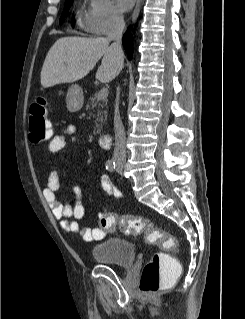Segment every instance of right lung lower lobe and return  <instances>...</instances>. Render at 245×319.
<instances>
[{
  "label": "right lung lower lobe",
  "mask_w": 245,
  "mask_h": 319,
  "mask_svg": "<svg viewBox=\"0 0 245 319\" xmlns=\"http://www.w3.org/2000/svg\"><path fill=\"white\" fill-rule=\"evenodd\" d=\"M123 46L127 52L129 59L132 58L133 47H132V37L130 33H125L123 36Z\"/></svg>",
  "instance_id": "right-lung-lower-lobe-1"
}]
</instances>
